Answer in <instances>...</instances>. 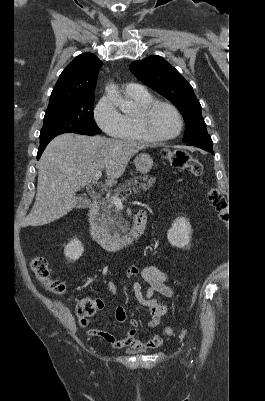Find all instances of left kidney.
<instances>
[{"label":"left kidney","mask_w":265,"mask_h":401,"mask_svg":"<svg viewBox=\"0 0 265 401\" xmlns=\"http://www.w3.org/2000/svg\"><path fill=\"white\" fill-rule=\"evenodd\" d=\"M191 233V227L184 219V217H178L175 219L167 233V239L172 245V247H177V249H184L189 245V235Z\"/></svg>","instance_id":"obj_1"}]
</instances>
